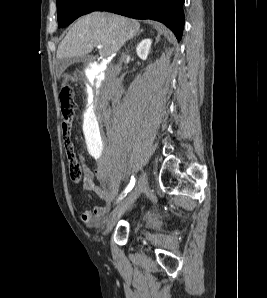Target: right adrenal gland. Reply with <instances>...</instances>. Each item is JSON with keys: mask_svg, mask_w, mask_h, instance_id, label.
<instances>
[{"mask_svg": "<svg viewBox=\"0 0 267 298\" xmlns=\"http://www.w3.org/2000/svg\"><path fill=\"white\" fill-rule=\"evenodd\" d=\"M142 32H143V30H140V31L138 32V34H136V35H139V34L142 33ZM136 35H135V36H136Z\"/></svg>", "mask_w": 267, "mask_h": 298, "instance_id": "right-adrenal-gland-1", "label": "right adrenal gland"}]
</instances>
